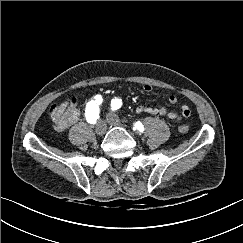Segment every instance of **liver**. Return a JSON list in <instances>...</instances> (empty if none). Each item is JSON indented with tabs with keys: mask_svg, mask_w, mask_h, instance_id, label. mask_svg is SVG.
<instances>
[{
	"mask_svg": "<svg viewBox=\"0 0 243 243\" xmlns=\"http://www.w3.org/2000/svg\"><path fill=\"white\" fill-rule=\"evenodd\" d=\"M66 106H67V102L63 103V104L59 107V109H58L57 112H56V120H58V119L60 118V116H61V114L64 112Z\"/></svg>",
	"mask_w": 243,
	"mask_h": 243,
	"instance_id": "1",
	"label": "liver"
}]
</instances>
